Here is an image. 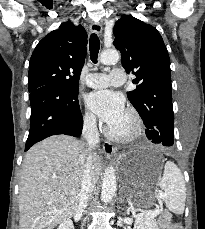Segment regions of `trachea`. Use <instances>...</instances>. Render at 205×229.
<instances>
[{
	"mask_svg": "<svg viewBox=\"0 0 205 229\" xmlns=\"http://www.w3.org/2000/svg\"><path fill=\"white\" fill-rule=\"evenodd\" d=\"M99 49H100L99 38L97 34L93 33L90 36L89 50H90V58L94 63H97Z\"/></svg>",
	"mask_w": 205,
	"mask_h": 229,
	"instance_id": "obj_1",
	"label": "trachea"
}]
</instances>
